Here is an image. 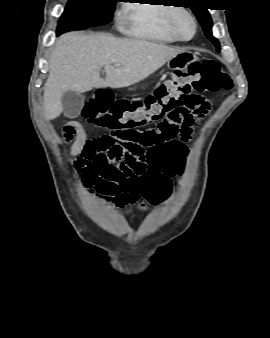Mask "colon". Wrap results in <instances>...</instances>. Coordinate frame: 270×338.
I'll list each match as a JSON object with an SVG mask.
<instances>
[{
	"mask_svg": "<svg viewBox=\"0 0 270 338\" xmlns=\"http://www.w3.org/2000/svg\"><path fill=\"white\" fill-rule=\"evenodd\" d=\"M231 88L232 81L219 62H192L187 71H176L161 82L143 102L114 100L106 90L96 92L85 101L81 118L132 144L151 146L152 157H164L180 150L191 135L192 125L208 111L202 94ZM167 118L171 121L164 123ZM149 123L159 124L139 130ZM176 137L179 139L175 142L160 146ZM146 161L145 154L141 152L136 157L133 151L107 173L102 188L118 207L139 203L145 189L140 179L147 182L155 179Z\"/></svg>",
	"mask_w": 270,
	"mask_h": 338,
	"instance_id": "colon-1",
	"label": "colon"
}]
</instances>
